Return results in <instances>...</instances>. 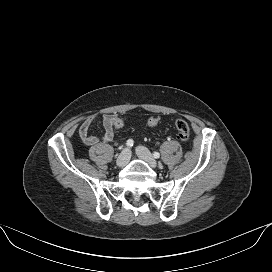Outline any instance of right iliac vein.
<instances>
[{"label":"right iliac vein","mask_w":272,"mask_h":272,"mask_svg":"<svg viewBox=\"0 0 272 272\" xmlns=\"http://www.w3.org/2000/svg\"><path fill=\"white\" fill-rule=\"evenodd\" d=\"M130 159V151L129 149H123V151L120 153L116 160V165L118 167H124L127 165Z\"/></svg>","instance_id":"right-iliac-vein-1"}]
</instances>
